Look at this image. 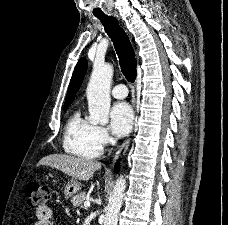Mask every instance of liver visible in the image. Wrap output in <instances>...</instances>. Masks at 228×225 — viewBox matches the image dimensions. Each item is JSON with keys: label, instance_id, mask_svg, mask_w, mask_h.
Masks as SVG:
<instances>
[{"label": "liver", "instance_id": "6515ba94", "mask_svg": "<svg viewBox=\"0 0 228 225\" xmlns=\"http://www.w3.org/2000/svg\"><path fill=\"white\" fill-rule=\"evenodd\" d=\"M40 165H47L62 171L65 175L78 179V181H89L94 177L95 171L101 169L102 163L92 161V159H84V157H70V155H49L43 157L39 161L37 167Z\"/></svg>", "mask_w": 228, "mask_h": 225}]
</instances>
